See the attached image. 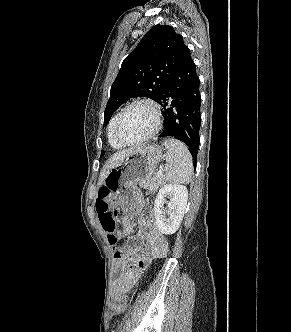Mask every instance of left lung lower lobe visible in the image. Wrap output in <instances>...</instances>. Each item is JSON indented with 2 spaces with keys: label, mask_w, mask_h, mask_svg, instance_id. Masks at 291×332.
<instances>
[{
  "label": "left lung lower lobe",
  "mask_w": 291,
  "mask_h": 332,
  "mask_svg": "<svg viewBox=\"0 0 291 332\" xmlns=\"http://www.w3.org/2000/svg\"><path fill=\"white\" fill-rule=\"evenodd\" d=\"M200 81L196 66L186 47L180 63L167 82L158 103L163 107L164 130L160 137H176L189 148L197 160L201 124Z\"/></svg>",
  "instance_id": "obj_1"
}]
</instances>
